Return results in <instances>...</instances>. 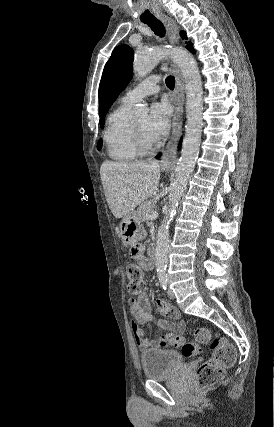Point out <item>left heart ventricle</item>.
Instances as JSON below:
<instances>
[{
  "mask_svg": "<svg viewBox=\"0 0 274 427\" xmlns=\"http://www.w3.org/2000/svg\"><path fill=\"white\" fill-rule=\"evenodd\" d=\"M138 127L142 137L150 144L157 142L156 139L152 138L147 131L148 117L144 116L140 118L137 122H135Z\"/></svg>",
  "mask_w": 274,
  "mask_h": 427,
  "instance_id": "b2bd125f",
  "label": "left heart ventricle"
}]
</instances>
